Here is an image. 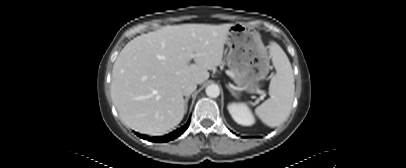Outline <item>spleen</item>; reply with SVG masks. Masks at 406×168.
<instances>
[{
  "label": "spleen",
  "mask_w": 406,
  "mask_h": 168,
  "mask_svg": "<svg viewBox=\"0 0 406 168\" xmlns=\"http://www.w3.org/2000/svg\"><path fill=\"white\" fill-rule=\"evenodd\" d=\"M269 49L276 74L270 81V98L258 106L255 113L264 124L276 127L289 117L295 84L292 66L285 52L274 42L269 45Z\"/></svg>",
  "instance_id": "obj_1"
}]
</instances>
